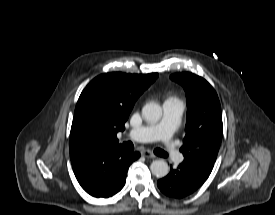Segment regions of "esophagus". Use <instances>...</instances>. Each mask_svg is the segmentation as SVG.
Returning a JSON list of instances; mask_svg holds the SVG:
<instances>
[{
  "label": "esophagus",
  "mask_w": 275,
  "mask_h": 215,
  "mask_svg": "<svg viewBox=\"0 0 275 215\" xmlns=\"http://www.w3.org/2000/svg\"><path fill=\"white\" fill-rule=\"evenodd\" d=\"M141 155L146 157V158H155V155L149 150H143L141 152Z\"/></svg>",
  "instance_id": "34e87169"
}]
</instances>
